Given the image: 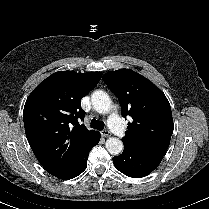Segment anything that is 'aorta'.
<instances>
[{
    "mask_svg": "<svg viewBox=\"0 0 209 209\" xmlns=\"http://www.w3.org/2000/svg\"><path fill=\"white\" fill-rule=\"evenodd\" d=\"M93 108L100 114H106L111 109V100L108 94L102 90H96L91 95ZM107 151L111 155H119L123 151V143L116 137H110L105 143Z\"/></svg>",
    "mask_w": 209,
    "mask_h": 209,
    "instance_id": "aorta-1",
    "label": "aorta"
}]
</instances>
